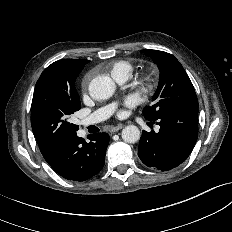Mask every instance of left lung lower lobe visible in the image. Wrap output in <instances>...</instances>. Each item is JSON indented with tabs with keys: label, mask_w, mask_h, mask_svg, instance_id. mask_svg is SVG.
<instances>
[{
	"label": "left lung lower lobe",
	"mask_w": 232,
	"mask_h": 232,
	"mask_svg": "<svg viewBox=\"0 0 232 232\" xmlns=\"http://www.w3.org/2000/svg\"><path fill=\"white\" fill-rule=\"evenodd\" d=\"M158 133L143 131L138 156L148 167L168 171L183 163L198 137V111L179 108L160 117Z\"/></svg>",
	"instance_id": "0a47b994"
}]
</instances>
